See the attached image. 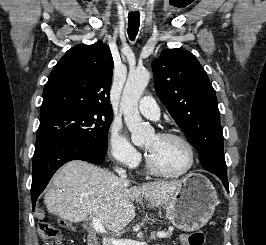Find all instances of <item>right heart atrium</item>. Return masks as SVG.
Here are the masks:
<instances>
[{"instance_id":"d8ad5b80","label":"right heart atrium","mask_w":266,"mask_h":245,"mask_svg":"<svg viewBox=\"0 0 266 245\" xmlns=\"http://www.w3.org/2000/svg\"><path fill=\"white\" fill-rule=\"evenodd\" d=\"M107 145L111 158L116 162L129 168H136L140 164L141 154L125 137L119 127H110Z\"/></svg>"}]
</instances>
